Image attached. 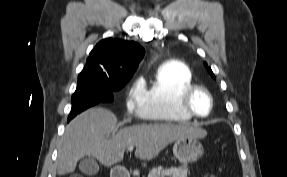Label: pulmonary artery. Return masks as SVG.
Listing matches in <instances>:
<instances>
[{"label": "pulmonary artery", "instance_id": "1", "mask_svg": "<svg viewBox=\"0 0 287 177\" xmlns=\"http://www.w3.org/2000/svg\"><path fill=\"white\" fill-rule=\"evenodd\" d=\"M167 62H168V63H173V62H175V60L170 59V60H168Z\"/></svg>", "mask_w": 287, "mask_h": 177}]
</instances>
